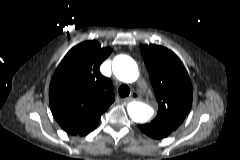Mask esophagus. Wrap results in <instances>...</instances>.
Returning a JSON list of instances; mask_svg holds the SVG:
<instances>
[{
  "label": "esophagus",
  "instance_id": "1",
  "mask_svg": "<svg viewBox=\"0 0 240 160\" xmlns=\"http://www.w3.org/2000/svg\"><path fill=\"white\" fill-rule=\"evenodd\" d=\"M141 96L137 91H133L130 97L126 99V101H138L140 100Z\"/></svg>",
  "mask_w": 240,
  "mask_h": 160
}]
</instances>
